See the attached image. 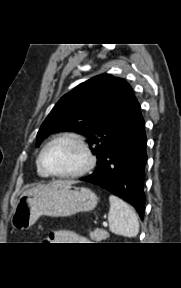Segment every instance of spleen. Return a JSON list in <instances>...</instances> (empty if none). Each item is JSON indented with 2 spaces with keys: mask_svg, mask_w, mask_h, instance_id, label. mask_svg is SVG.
Returning a JSON list of instances; mask_svg holds the SVG:
<instances>
[{
  "mask_svg": "<svg viewBox=\"0 0 181 288\" xmlns=\"http://www.w3.org/2000/svg\"><path fill=\"white\" fill-rule=\"evenodd\" d=\"M109 201L110 231L124 237H135L139 232V222L133 208L114 195H110Z\"/></svg>",
  "mask_w": 181,
  "mask_h": 288,
  "instance_id": "obj_1",
  "label": "spleen"
}]
</instances>
